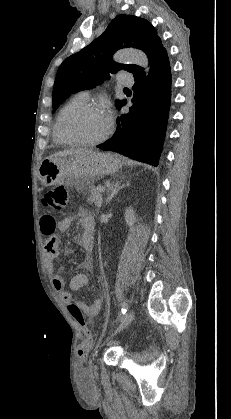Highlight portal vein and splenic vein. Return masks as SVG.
Segmentation results:
<instances>
[{
	"label": "portal vein and splenic vein",
	"instance_id": "1",
	"mask_svg": "<svg viewBox=\"0 0 231 419\" xmlns=\"http://www.w3.org/2000/svg\"><path fill=\"white\" fill-rule=\"evenodd\" d=\"M105 190H106V187H105V186H100V187H99V191H100V192H104Z\"/></svg>",
	"mask_w": 231,
	"mask_h": 419
}]
</instances>
